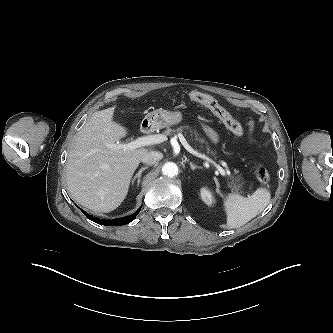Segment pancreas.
Here are the masks:
<instances>
[{"label":"pancreas","instance_id":"pancreas-1","mask_svg":"<svg viewBox=\"0 0 333 333\" xmlns=\"http://www.w3.org/2000/svg\"><path fill=\"white\" fill-rule=\"evenodd\" d=\"M184 129H189V127L181 126L177 129L167 128L166 131L164 132V134L166 136H168L174 132H183ZM193 135H194L193 140L196 142H199L201 144L200 148H203V146L205 145L207 152L208 153L211 152V154H214V152L210 150V146L208 145V143L204 139H201L196 131L191 130V136H193ZM230 179H231V181L228 182V187L231 188V190L233 192H239L240 188H241V185L239 184L240 178H234V177L230 176Z\"/></svg>","mask_w":333,"mask_h":333}]
</instances>
